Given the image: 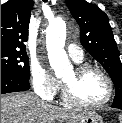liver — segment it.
Listing matches in <instances>:
<instances>
[{
	"label": "liver",
	"mask_w": 122,
	"mask_h": 123,
	"mask_svg": "<svg viewBox=\"0 0 122 123\" xmlns=\"http://www.w3.org/2000/svg\"><path fill=\"white\" fill-rule=\"evenodd\" d=\"M85 112L60 108L29 92L1 96V123H75Z\"/></svg>",
	"instance_id": "obj_1"
}]
</instances>
